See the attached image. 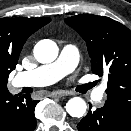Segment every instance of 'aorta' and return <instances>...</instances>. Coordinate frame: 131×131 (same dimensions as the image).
I'll return each instance as SVG.
<instances>
[{
    "label": "aorta",
    "instance_id": "762f6f07",
    "mask_svg": "<svg viewBox=\"0 0 131 131\" xmlns=\"http://www.w3.org/2000/svg\"><path fill=\"white\" fill-rule=\"evenodd\" d=\"M34 56L40 63L53 62L58 56V46L52 40H41L34 48ZM86 109L87 105L80 97H73L66 104V111L72 117H82L85 114Z\"/></svg>",
    "mask_w": 131,
    "mask_h": 131
}]
</instances>
